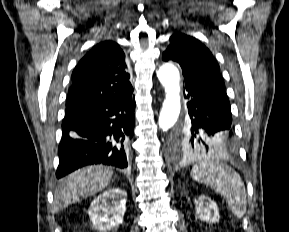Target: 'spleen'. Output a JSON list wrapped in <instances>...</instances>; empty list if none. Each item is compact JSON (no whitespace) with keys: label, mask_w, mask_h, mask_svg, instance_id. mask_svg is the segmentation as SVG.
Masks as SVG:
<instances>
[{"label":"spleen","mask_w":289,"mask_h":232,"mask_svg":"<svg viewBox=\"0 0 289 232\" xmlns=\"http://www.w3.org/2000/svg\"><path fill=\"white\" fill-rule=\"evenodd\" d=\"M191 176L219 193L236 217H243L247 209L246 191L240 175L218 160L205 159L195 165Z\"/></svg>","instance_id":"1"}]
</instances>
